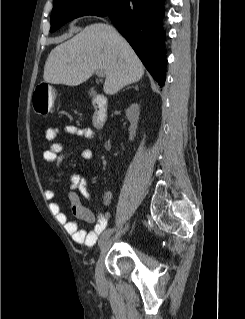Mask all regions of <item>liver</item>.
<instances>
[{
    "label": "liver",
    "mask_w": 245,
    "mask_h": 319,
    "mask_svg": "<svg viewBox=\"0 0 245 319\" xmlns=\"http://www.w3.org/2000/svg\"><path fill=\"white\" fill-rule=\"evenodd\" d=\"M102 70L103 91L113 95L139 81L144 66L129 43L111 25L94 23L56 46L44 66V81L78 86Z\"/></svg>",
    "instance_id": "6515ba94"
}]
</instances>
